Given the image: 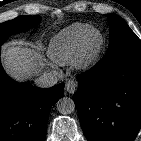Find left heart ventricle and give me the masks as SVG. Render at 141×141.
I'll return each instance as SVG.
<instances>
[{"label": "left heart ventricle", "instance_id": "left-heart-ventricle-1", "mask_svg": "<svg viewBox=\"0 0 141 141\" xmlns=\"http://www.w3.org/2000/svg\"><path fill=\"white\" fill-rule=\"evenodd\" d=\"M99 42V36L97 34H93L90 39L91 47H95Z\"/></svg>", "mask_w": 141, "mask_h": 141}]
</instances>
